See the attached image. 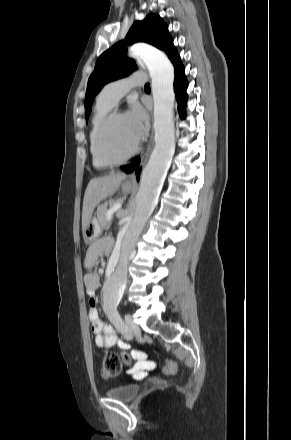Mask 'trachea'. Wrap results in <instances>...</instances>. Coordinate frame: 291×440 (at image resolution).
Wrapping results in <instances>:
<instances>
[{
	"label": "trachea",
	"mask_w": 291,
	"mask_h": 440,
	"mask_svg": "<svg viewBox=\"0 0 291 440\" xmlns=\"http://www.w3.org/2000/svg\"><path fill=\"white\" fill-rule=\"evenodd\" d=\"M145 88H150V84L147 83V84L145 85Z\"/></svg>",
	"instance_id": "3493384b"
}]
</instances>
